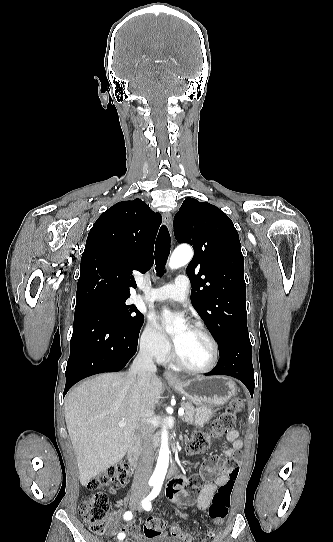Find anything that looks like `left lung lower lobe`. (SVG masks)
<instances>
[{"label": "left lung lower lobe", "instance_id": "0a47b994", "mask_svg": "<svg viewBox=\"0 0 333 542\" xmlns=\"http://www.w3.org/2000/svg\"><path fill=\"white\" fill-rule=\"evenodd\" d=\"M252 346L248 332L233 334L219 351L216 367L205 375H228L241 380L251 394L254 392V370L252 365Z\"/></svg>", "mask_w": 333, "mask_h": 542}]
</instances>
